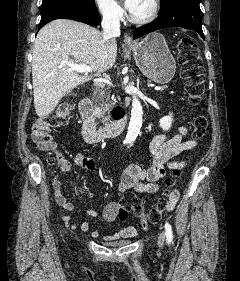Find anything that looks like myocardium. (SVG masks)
I'll list each match as a JSON object with an SVG mask.
<instances>
[{
    "label": "myocardium",
    "mask_w": 240,
    "mask_h": 281,
    "mask_svg": "<svg viewBox=\"0 0 240 281\" xmlns=\"http://www.w3.org/2000/svg\"><path fill=\"white\" fill-rule=\"evenodd\" d=\"M149 4H150V10L147 15L143 17H136L132 13H130L129 20L132 23L138 25H144L152 22L156 18L159 11V0H149Z\"/></svg>",
    "instance_id": "obj_1"
}]
</instances>
